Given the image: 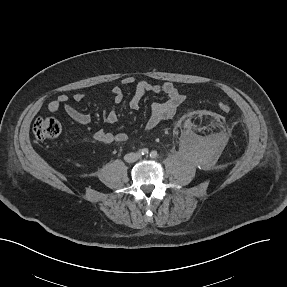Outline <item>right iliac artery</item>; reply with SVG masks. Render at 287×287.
I'll return each mask as SVG.
<instances>
[{
  "instance_id": "right-iliac-artery-1",
  "label": "right iliac artery",
  "mask_w": 287,
  "mask_h": 287,
  "mask_svg": "<svg viewBox=\"0 0 287 287\" xmlns=\"http://www.w3.org/2000/svg\"><path fill=\"white\" fill-rule=\"evenodd\" d=\"M148 153H149V150L147 148H143L138 151L139 155H147Z\"/></svg>"
}]
</instances>
